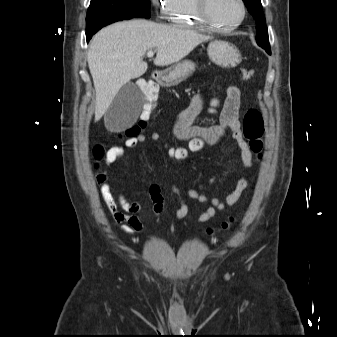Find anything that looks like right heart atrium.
I'll return each instance as SVG.
<instances>
[{"instance_id": "1", "label": "right heart atrium", "mask_w": 337, "mask_h": 337, "mask_svg": "<svg viewBox=\"0 0 337 337\" xmlns=\"http://www.w3.org/2000/svg\"><path fill=\"white\" fill-rule=\"evenodd\" d=\"M160 16H167L171 0H151Z\"/></svg>"}]
</instances>
